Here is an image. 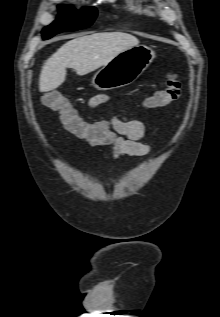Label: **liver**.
Returning <instances> with one entry per match:
<instances>
[{
	"instance_id": "obj_1",
	"label": "liver",
	"mask_w": 220,
	"mask_h": 317,
	"mask_svg": "<svg viewBox=\"0 0 220 317\" xmlns=\"http://www.w3.org/2000/svg\"><path fill=\"white\" fill-rule=\"evenodd\" d=\"M138 44L136 37L123 32L94 33L72 39L44 62L39 76V91L47 92L59 87L66 79V68L74 69L80 76L86 75Z\"/></svg>"
}]
</instances>
